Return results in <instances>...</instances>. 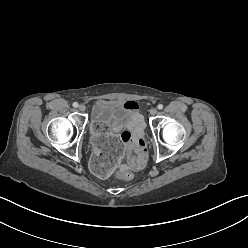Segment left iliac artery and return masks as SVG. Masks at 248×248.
<instances>
[{
  "instance_id": "left-iliac-artery-1",
  "label": "left iliac artery",
  "mask_w": 248,
  "mask_h": 248,
  "mask_svg": "<svg viewBox=\"0 0 248 248\" xmlns=\"http://www.w3.org/2000/svg\"><path fill=\"white\" fill-rule=\"evenodd\" d=\"M157 108H158L159 110H161V109L163 108V105H162V104H159V105L157 106Z\"/></svg>"
}]
</instances>
